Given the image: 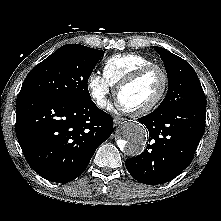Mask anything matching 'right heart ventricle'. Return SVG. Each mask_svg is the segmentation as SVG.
Returning <instances> with one entry per match:
<instances>
[{
    "instance_id": "e07e8e85",
    "label": "right heart ventricle",
    "mask_w": 221,
    "mask_h": 221,
    "mask_svg": "<svg viewBox=\"0 0 221 221\" xmlns=\"http://www.w3.org/2000/svg\"><path fill=\"white\" fill-rule=\"evenodd\" d=\"M150 64H154L153 60L141 54H116L106 60L103 75L111 86H117L121 80L137 69Z\"/></svg>"
}]
</instances>
